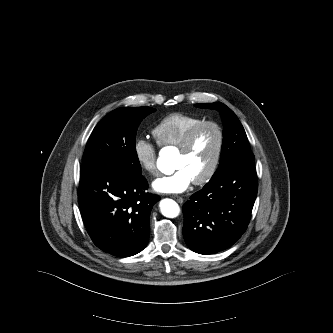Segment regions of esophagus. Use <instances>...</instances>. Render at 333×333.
<instances>
[{
    "mask_svg": "<svg viewBox=\"0 0 333 333\" xmlns=\"http://www.w3.org/2000/svg\"><path fill=\"white\" fill-rule=\"evenodd\" d=\"M173 198L176 199V201H177L178 203H180V204H182L183 201H184L183 198L180 197V196H174Z\"/></svg>",
    "mask_w": 333,
    "mask_h": 333,
    "instance_id": "34e87169",
    "label": "esophagus"
}]
</instances>
